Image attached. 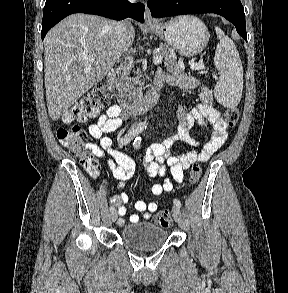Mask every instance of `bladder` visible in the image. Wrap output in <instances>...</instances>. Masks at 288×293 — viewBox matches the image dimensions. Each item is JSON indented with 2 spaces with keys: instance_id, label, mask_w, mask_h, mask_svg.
I'll use <instances>...</instances> for the list:
<instances>
[{
  "instance_id": "31cf9c89",
  "label": "bladder",
  "mask_w": 288,
  "mask_h": 293,
  "mask_svg": "<svg viewBox=\"0 0 288 293\" xmlns=\"http://www.w3.org/2000/svg\"><path fill=\"white\" fill-rule=\"evenodd\" d=\"M121 239L136 249H155L161 247L168 238L167 230L151 222H137L126 225L121 230Z\"/></svg>"
}]
</instances>
